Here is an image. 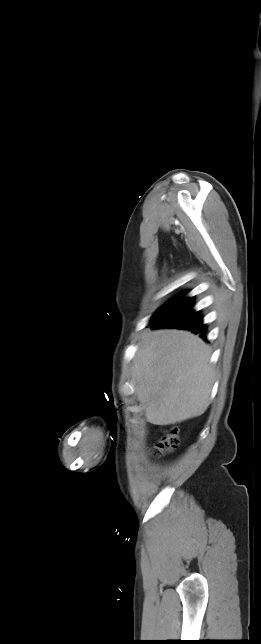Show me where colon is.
<instances>
[{
    "mask_svg": "<svg viewBox=\"0 0 261 644\" xmlns=\"http://www.w3.org/2000/svg\"><path fill=\"white\" fill-rule=\"evenodd\" d=\"M179 444L178 429L172 427L166 431V433L160 438L156 443L153 454L156 456L163 455L165 453L171 452L177 448Z\"/></svg>",
    "mask_w": 261,
    "mask_h": 644,
    "instance_id": "1",
    "label": "colon"
}]
</instances>
